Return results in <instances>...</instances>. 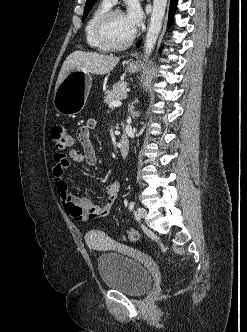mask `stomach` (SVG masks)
I'll list each match as a JSON object with an SVG mask.
<instances>
[{"mask_svg":"<svg viewBox=\"0 0 247 332\" xmlns=\"http://www.w3.org/2000/svg\"><path fill=\"white\" fill-rule=\"evenodd\" d=\"M129 73L138 70V66L127 67ZM92 85V77L83 70H72L55 91L53 104L56 111L64 116L73 117L81 112L87 101Z\"/></svg>","mask_w":247,"mask_h":332,"instance_id":"obj_1","label":"stomach"}]
</instances>
